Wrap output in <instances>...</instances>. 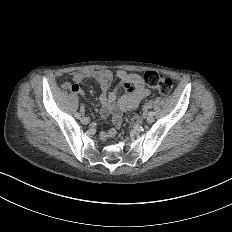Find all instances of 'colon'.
I'll use <instances>...</instances> for the list:
<instances>
[{"label":"colon","instance_id":"1","mask_svg":"<svg viewBox=\"0 0 232 232\" xmlns=\"http://www.w3.org/2000/svg\"><path fill=\"white\" fill-rule=\"evenodd\" d=\"M144 81L148 86H152V91H159L156 92V97L164 95V98H169V95H172V90H168V87L175 86V81H170L166 76H161L157 80V76L153 72L146 73Z\"/></svg>","mask_w":232,"mask_h":232}]
</instances>
